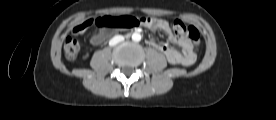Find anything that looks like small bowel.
I'll use <instances>...</instances> for the list:
<instances>
[{
  "label": "small bowel",
  "mask_w": 276,
  "mask_h": 120,
  "mask_svg": "<svg viewBox=\"0 0 276 120\" xmlns=\"http://www.w3.org/2000/svg\"><path fill=\"white\" fill-rule=\"evenodd\" d=\"M147 27L154 30H161L167 36L168 40L171 44L178 45L181 48V51L176 50L168 43H158L155 41H148V44L159 52H161L167 59L170 64L173 65H182V66H190L195 62V54L193 53V45L188 39H179L177 38L167 21L162 19H155L152 23H143ZM74 33H78L76 29H73ZM82 33V32H80ZM105 38V34L103 32L96 33L91 37V43L95 46L100 45Z\"/></svg>",
  "instance_id": "c3829d8e"
}]
</instances>
